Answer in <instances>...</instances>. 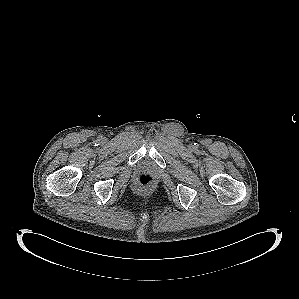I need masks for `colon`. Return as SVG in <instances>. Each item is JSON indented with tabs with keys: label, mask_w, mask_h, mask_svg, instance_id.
Wrapping results in <instances>:
<instances>
[{
	"label": "colon",
	"mask_w": 299,
	"mask_h": 299,
	"mask_svg": "<svg viewBox=\"0 0 299 299\" xmlns=\"http://www.w3.org/2000/svg\"><path fill=\"white\" fill-rule=\"evenodd\" d=\"M154 179L150 174L142 173L136 179V185L140 189H148L153 185Z\"/></svg>",
	"instance_id": "5ec220e1"
}]
</instances>
